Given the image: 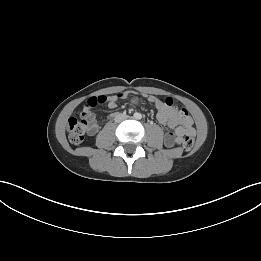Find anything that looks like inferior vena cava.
<instances>
[{
    "mask_svg": "<svg viewBox=\"0 0 261 261\" xmlns=\"http://www.w3.org/2000/svg\"><path fill=\"white\" fill-rule=\"evenodd\" d=\"M127 118H128L127 115H120L119 117L116 118V121L120 122V121H123V120H125Z\"/></svg>",
    "mask_w": 261,
    "mask_h": 261,
    "instance_id": "inferior-vena-cava-1",
    "label": "inferior vena cava"
}]
</instances>
